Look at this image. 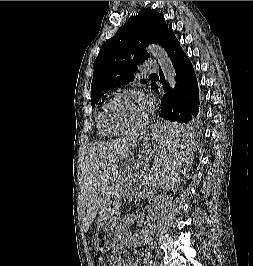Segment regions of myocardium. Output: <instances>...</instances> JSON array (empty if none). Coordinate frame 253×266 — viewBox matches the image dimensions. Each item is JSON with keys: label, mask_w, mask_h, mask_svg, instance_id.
<instances>
[{"label": "myocardium", "mask_w": 253, "mask_h": 266, "mask_svg": "<svg viewBox=\"0 0 253 266\" xmlns=\"http://www.w3.org/2000/svg\"><path fill=\"white\" fill-rule=\"evenodd\" d=\"M128 94H134V95H140L144 98H146L145 94L140 91V90H137V89H124L118 93H116L114 96H112L101 108L100 110V113H99V124H100V127L101 129L103 130L104 133L110 135V136H116V135H123V134H129L133 131H136L140 128H142L144 125L147 124V122L149 121V118L151 116V113L153 111V108L151 106V104L149 103L150 105V110L148 112V114L146 115V117L141 121L139 122L138 124H136L135 126L133 127H130V128H127V129H119V130H115V129H112V128H109L106 123H105V113H106V110L107 108L115 101L117 100L118 98L124 96V95H128Z\"/></svg>", "instance_id": "obj_1"}]
</instances>
